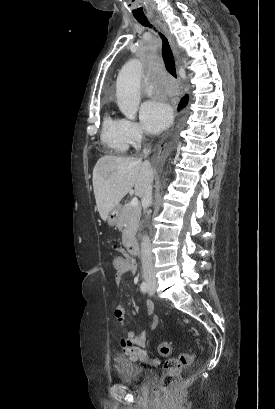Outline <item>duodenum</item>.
Listing matches in <instances>:
<instances>
[{"instance_id": "obj_1", "label": "duodenum", "mask_w": 275, "mask_h": 409, "mask_svg": "<svg viewBox=\"0 0 275 409\" xmlns=\"http://www.w3.org/2000/svg\"><path fill=\"white\" fill-rule=\"evenodd\" d=\"M127 252L129 253V255L135 257L138 255L139 253V248L136 242L134 241H130L127 244Z\"/></svg>"}]
</instances>
